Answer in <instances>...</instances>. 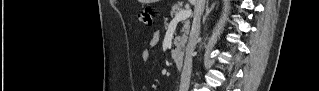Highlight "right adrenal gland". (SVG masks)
Instances as JSON below:
<instances>
[{
  "label": "right adrenal gland",
  "instance_id": "obj_1",
  "mask_svg": "<svg viewBox=\"0 0 319 91\" xmlns=\"http://www.w3.org/2000/svg\"><path fill=\"white\" fill-rule=\"evenodd\" d=\"M213 7H214V4H213L212 7L209 9V0H207L206 7H205V15L203 16V23L205 22L206 17L208 16L210 10H211Z\"/></svg>",
  "mask_w": 319,
  "mask_h": 91
}]
</instances>
